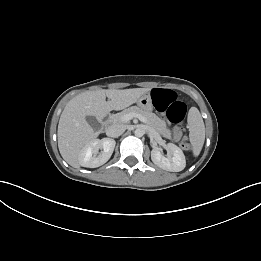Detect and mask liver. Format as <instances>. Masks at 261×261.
Instances as JSON below:
<instances>
[{"label": "liver", "mask_w": 261, "mask_h": 261, "mask_svg": "<svg viewBox=\"0 0 261 261\" xmlns=\"http://www.w3.org/2000/svg\"><path fill=\"white\" fill-rule=\"evenodd\" d=\"M150 89H101L87 91L72 98L65 106L58 124V148L63 159L79 168L82 148L95 140L98 133L87 122L93 116L102 120L112 110H122L138 101ZM106 97L108 101H106Z\"/></svg>", "instance_id": "obj_1"}]
</instances>
